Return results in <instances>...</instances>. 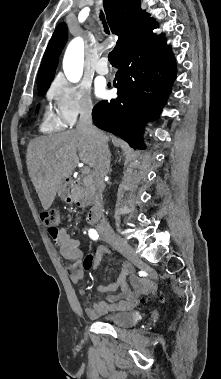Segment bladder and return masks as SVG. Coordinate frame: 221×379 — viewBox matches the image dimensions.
I'll return each mask as SVG.
<instances>
[{"label": "bladder", "instance_id": "1", "mask_svg": "<svg viewBox=\"0 0 221 379\" xmlns=\"http://www.w3.org/2000/svg\"><path fill=\"white\" fill-rule=\"evenodd\" d=\"M140 319V314L134 310L108 313L100 318L104 323L118 327L134 326Z\"/></svg>", "mask_w": 221, "mask_h": 379}]
</instances>
